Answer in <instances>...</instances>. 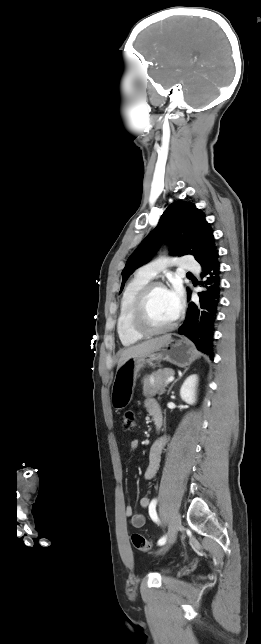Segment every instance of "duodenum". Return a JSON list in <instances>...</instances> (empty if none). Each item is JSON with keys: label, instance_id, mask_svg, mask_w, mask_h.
<instances>
[{"label": "duodenum", "instance_id": "1", "mask_svg": "<svg viewBox=\"0 0 261 644\" xmlns=\"http://www.w3.org/2000/svg\"><path fill=\"white\" fill-rule=\"evenodd\" d=\"M154 421H155V425H156V427H157V428H160V427H161V425H162V419H161L160 417H156V418L154 419Z\"/></svg>", "mask_w": 261, "mask_h": 644}]
</instances>
